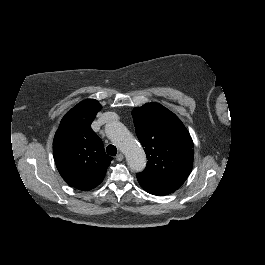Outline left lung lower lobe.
<instances>
[{"instance_id":"obj_1","label":"left lung lower lobe","mask_w":265,"mask_h":265,"mask_svg":"<svg viewBox=\"0 0 265 265\" xmlns=\"http://www.w3.org/2000/svg\"><path fill=\"white\" fill-rule=\"evenodd\" d=\"M139 184L141 185V187L145 191H147L150 194L157 195V196H164V195H168V194L174 192V190L166 189V188H160L157 186L147 184V183L142 182V181H139Z\"/></svg>"}]
</instances>
